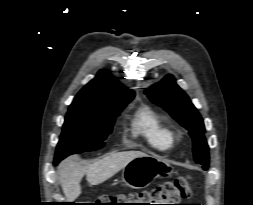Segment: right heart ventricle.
Wrapping results in <instances>:
<instances>
[{
	"label": "right heart ventricle",
	"mask_w": 253,
	"mask_h": 205,
	"mask_svg": "<svg viewBox=\"0 0 253 205\" xmlns=\"http://www.w3.org/2000/svg\"><path fill=\"white\" fill-rule=\"evenodd\" d=\"M131 132L134 137L141 138L158 150L172 146L174 135L159 114L149 107H143L131 121Z\"/></svg>",
	"instance_id": "obj_1"
}]
</instances>
